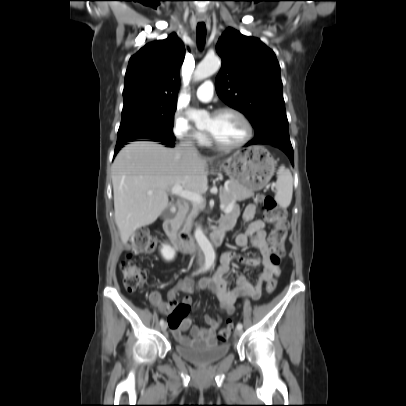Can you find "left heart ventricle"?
<instances>
[{
	"mask_svg": "<svg viewBox=\"0 0 406 406\" xmlns=\"http://www.w3.org/2000/svg\"><path fill=\"white\" fill-rule=\"evenodd\" d=\"M204 129L210 131L219 141L225 144L239 142L246 133L243 122L233 113L211 115L206 121Z\"/></svg>",
	"mask_w": 406,
	"mask_h": 406,
	"instance_id": "b2bd125f",
	"label": "left heart ventricle"
}]
</instances>
